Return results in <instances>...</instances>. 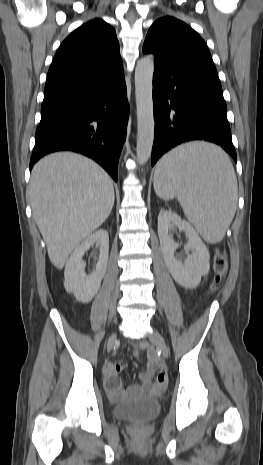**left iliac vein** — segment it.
<instances>
[{
  "mask_svg": "<svg viewBox=\"0 0 263 465\" xmlns=\"http://www.w3.org/2000/svg\"><path fill=\"white\" fill-rule=\"evenodd\" d=\"M149 340L158 347V349L161 351L163 357H165V358L169 357V349H168V347L166 345V342H165L163 336L157 330H153L149 334Z\"/></svg>",
  "mask_w": 263,
  "mask_h": 465,
  "instance_id": "4c4485c4",
  "label": "left iliac vein"
}]
</instances>
